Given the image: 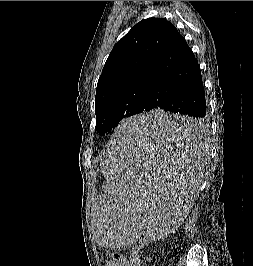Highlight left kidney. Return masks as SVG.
<instances>
[{
    "label": "left kidney",
    "mask_w": 253,
    "mask_h": 266,
    "mask_svg": "<svg viewBox=\"0 0 253 266\" xmlns=\"http://www.w3.org/2000/svg\"><path fill=\"white\" fill-rule=\"evenodd\" d=\"M190 205H191V201H189L186 205H184L183 208L189 209Z\"/></svg>",
    "instance_id": "1"
}]
</instances>
